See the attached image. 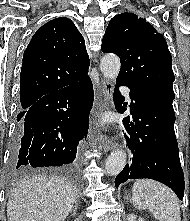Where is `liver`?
<instances>
[{
  "mask_svg": "<svg viewBox=\"0 0 190 221\" xmlns=\"http://www.w3.org/2000/svg\"><path fill=\"white\" fill-rule=\"evenodd\" d=\"M77 197L76 186L62 177L24 178L9 197L8 221H64Z\"/></svg>",
  "mask_w": 190,
  "mask_h": 221,
  "instance_id": "liver-1",
  "label": "liver"
}]
</instances>
